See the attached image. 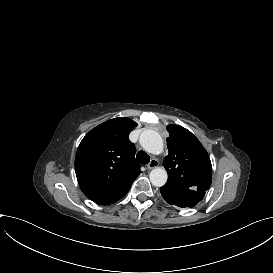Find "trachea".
<instances>
[{
    "label": "trachea",
    "instance_id": "3493384b",
    "mask_svg": "<svg viewBox=\"0 0 273 273\" xmlns=\"http://www.w3.org/2000/svg\"><path fill=\"white\" fill-rule=\"evenodd\" d=\"M136 161L140 164H147L150 162V156L144 151H139L136 155Z\"/></svg>",
    "mask_w": 273,
    "mask_h": 273
}]
</instances>
